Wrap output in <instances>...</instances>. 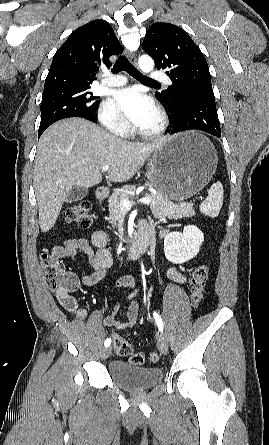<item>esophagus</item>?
<instances>
[{"label": "esophagus", "mask_w": 269, "mask_h": 445, "mask_svg": "<svg viewBox=\"0 0 269 445\" xmlns=\"http://www.w3.org/2000/svg\"><path fill=\"white\" fill-rule=\"evenodd\" d=\"M127 57L134 65H137V59L133 53L128 52Z\"/></svg>", "instance_id": "esophagus-1"}]
</instances>
